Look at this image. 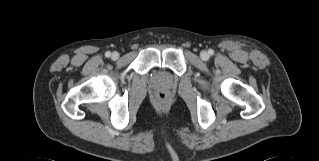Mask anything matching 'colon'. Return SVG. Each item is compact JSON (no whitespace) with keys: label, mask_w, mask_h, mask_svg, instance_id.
I'll use <instances>...</instances> for the list:
<instances>
[{"label":"colon","mask_w":319,"mask_h":161,"mask_svg":"<svg viewBox=\"0 0 319 161\" xmlns=\"http://www.w3.org/2000/svg\"><path fill=\"white\" fill-rule=\"evenodd\" d=\"M168 96L167 93L164 91H158L156 93V101L159 104H165L167 102Z\"/></svg>","instance_id":"5ec220e1"}]
</instances>
